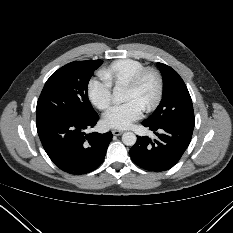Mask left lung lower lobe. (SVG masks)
Here are the masks:
<instances>
[{"label": "left lung lower lobe", "instance_id": "obj_1", "mask_svg": "<svg viewBox=\"0 0 233 233\" xmlns=\"http://www.w3.org/2000/svg\"><path fill=\"white\" fill-rule=\"evenodd\" d=\"M145 127L158 136L151 140L147 136L138 137L130 149L132 161L148 171H165L171 169L187 149L194 125L174 123L162 126H152L142 122Z\"/></svg>", "mask_w": 233, "mask_h": 233}]
</instances>
